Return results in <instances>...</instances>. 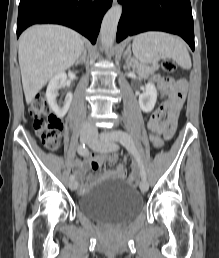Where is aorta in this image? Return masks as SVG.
Returning <instances> with one entry per match:
<instances>
[{"mask_svg":"<svg viewBox=\"0 0 219 258\" xmlns=\"http://www.w3.org/2000/svg\"><path fill=\"white\" fill-rule=\"evenodd\" d=\"M121 14L122 6L118 4L111 7L103 18L100 30V42L105 48L111 47L115 41Z\"/></svg>","mask_w":219,"mask_h":258,"instance_id":"aorta-1","label":"aorta"}]
</instances>
